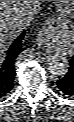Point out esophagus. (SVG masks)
Masks as SVG:
<instances>
[{"label": "esophagus", "instance_id": "1", "mask_svg": "<svg viewBox=\"0 0 74 122\" xmlns=\"http://www.w3.org/2000/svg\"><path fill=\"white\" fill-rule=\"evenodd\" d=\"M37 45L43 50H45L50 45L45 28L38 35Z\"/></svg>", "mask_w": 74, "mask_h": 122}]
</instances>
